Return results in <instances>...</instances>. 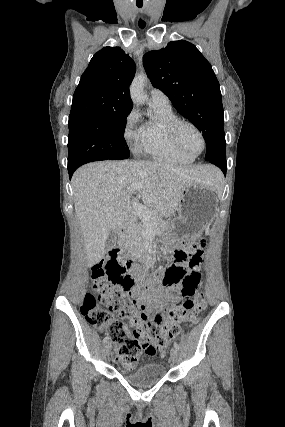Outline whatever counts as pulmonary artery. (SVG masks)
Segmentation results:
<instances>
[{
    "label": "pulmonary artery",
    "instance_id": "1",
    "mask_svg": "<svg viewBox=\"0 0 285 427\" xmlns=\"http://www.w3.org/2000/svg\"><path fill=\"white\" fill-rule=\"evenodd\" d=\"M150 102L157 105H170L168 96L158 89H152L150 91Z\"/></svg>",
    "mask_w": 285,
    "mask_h": 427
}]
</instances>
